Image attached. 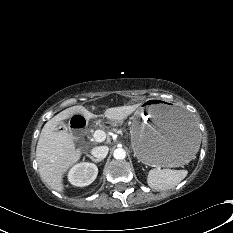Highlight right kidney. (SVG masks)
<instances>
[{"instance_id": "obj_1", "label": "right kidney", "mask_w": 233, "mask_h": 233, "mask_svg": "<svg viewBox=\"0 0 233 233\" xmlns=\"http://www.w3.org/2000/svg\"><path fill=\"white\" fill-rule=\"evenodd\" d=\"M98 168L93 163L82 162L71 168L68 174L70 183L74 186L90 185L97 177Z\"/></svg>"}]
</instances>
